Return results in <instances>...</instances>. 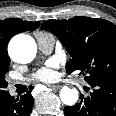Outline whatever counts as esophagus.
Returning a JSON list of instances; mask_svg holds the SVG:
<instances>
[{
    "mask_svg": "<svg viewBox=\"0 0 116 116\" xmlns=\"http://www.w3.org/2000/svg\"><path fill=\"white\" fill-rule=\"evenodd\" d=\"M48 87H50L51 89L53 90H58L61 88V85H58V84H51V85H48Z\"/></svg>",
    "mask_w": 116,
    "mask_h": 116,
    "instance_id": "obj_1",
    "label": "esophagus"
}]
</instances>
